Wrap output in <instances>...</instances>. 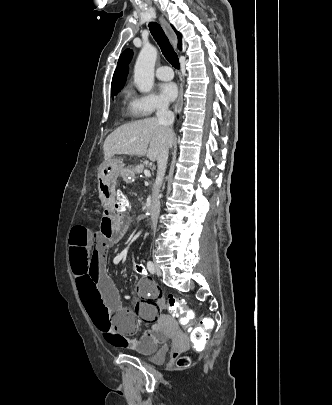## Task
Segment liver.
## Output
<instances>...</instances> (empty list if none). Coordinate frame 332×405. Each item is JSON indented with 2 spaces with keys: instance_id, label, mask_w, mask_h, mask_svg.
Masks as SVG:
<instances>
[{
  "instance_id": "obj_1",
  "label": "liver",
  "mask_w": 332,
  "mask_h": 405,
  "mask_svg": "<svg viewBox=\"0 0 332 405\" xmlns=\"http://www.w3.org/2000/svg\"><path fill=\"white\" fill-rule=\"evenodd\" d=\"M173 132L169 133L159 124L157 118H147L124 124L105 139L104 160L109 162L116 154L147 156L151 161L158 159L164 145H171Z\"/></svg>"
}]
</instances>
